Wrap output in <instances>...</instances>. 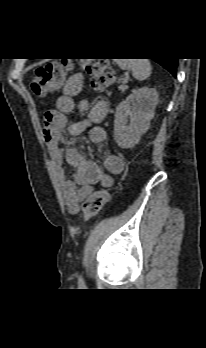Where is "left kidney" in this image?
<instances>
[{
  "mask_svg": "<svg viewBox=\"0 0 206 348\" xmlns=\"http://www.w3.org/2000/svg\"><path fill=\"white\" fill-rule=\"evenodd\" d=\"M157 104L156 89L142 87L133 90L118 105L114 121V138L119 147L128 149L139 142L141 136L149 129Z\"/></svg>",
  "mask_w": 206,
  "mask_h": 348,
  "instance_id": "left-kidney-1",
  "label": "left kidney"
}]
</instances>
